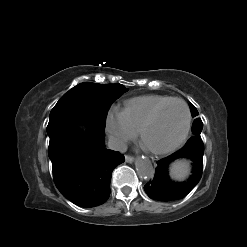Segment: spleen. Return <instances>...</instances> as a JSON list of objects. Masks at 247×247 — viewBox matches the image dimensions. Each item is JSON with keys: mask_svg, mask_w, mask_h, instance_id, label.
<instances>
[{"mask_svg": "<svg viewBox=\"0 0 247 247\" xmlns=\"http://www.w3.org/2000/svg\"><path fill=\"white\" fill-rule=\"evenodd\" d=\"M191 166L188 160H176L169 167V174L173 180L183 181L190 174Z\"/></svg>", "mask_w": 247, "mask_h": 247, "instance_id": "obj_1", "label": "spleen"}]
</instances>
